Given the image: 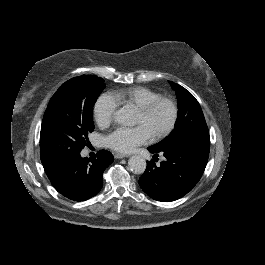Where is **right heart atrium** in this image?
I'll use <instances>...</instances> for the list:
<instances>
[{
  "mask_svg": "<svg viewBox=\"0 0 265 265\" xmlns=\"http://www.w3.org/2000/svg\"><path fill=\"white\" fill-rule=\"evenodd\" d=\"M118 104L110 94H102L93 108V116L96 123L104 128L107 127L117 114Z\"/></svg>",
  "mask_w": 265,
  "mask_h": 265,
  "instance_id": "1",
  "label": "right heart atrium"
}]
</instances>
